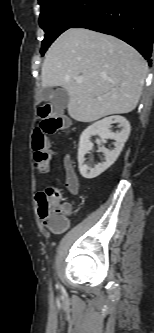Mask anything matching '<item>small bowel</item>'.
Returning a JSON list of instances; mask_svg holds the SVG:
<instances>
[{"instance_id":"1","label":"small bowel","mask_w":154,"mask_h":333,"mask_svg":"<svg viewBox=\"0 0 154 333\" xmlns=\"http://www.w3.org/2000/svg\"><path fill=\"white\" fill-rule=\"evenodd\" d=\"M64 169H65V187L71 194H75L78 191L79 187V181L78 177L76 175V172L74 170L72 160L70 156H65L64 158ZM66 211H69L71 209L72 204L70 202H67L64 204Z\"/></svg>"}]
</instances>
